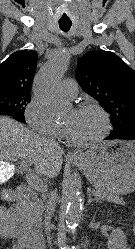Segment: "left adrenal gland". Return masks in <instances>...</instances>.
Instances as JSON below:
<instances>
[{"mask_svg":"<svg viewBox=\"0 0 135 249\" xmlns=\"http://www.w3.org/2000/svg\"><path fill=\"white\" fill-rule=\"evenodd\" d=\"M92 202H100L99 199H93L91 195L89 194L88 204L90 205Z\"/></svg>","mask_w":135,"mask_h":249,"instance_id":"1","label":"left adrenal gland"}]
</instances>
